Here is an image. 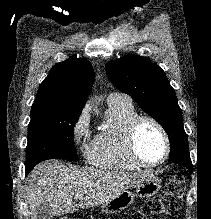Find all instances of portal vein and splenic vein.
Here are the masks:
<instances>
[{
  "label": "portal vein and splenic vein",
  "mask_w": 211,
  "mask_h": 219,
  "mask_svg": "<svg viewBox=\"0 0 211 219\" xmlns=\"http://www.w3.org/2000/svg\"><path fill=\"white\" fill-rule=\"evenodd\" d=\"M75 197L78 198V199H81V198H82V195L77 194Z\"/></svg>",
  "instance_id": "portal-vein-and-splenic-vein-1"
}]
</instances>
